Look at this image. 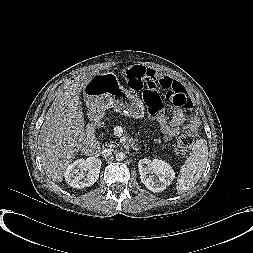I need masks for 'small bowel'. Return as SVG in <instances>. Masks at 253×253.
<instances>
[{
  "label": "small bowel",
  "mask_w": 253,
  "mask_h": 253,
  "mask_svg": "<svg viewBox=\"0 0 253 253\" xmlns=\"http://www.w3.org/2000/svg\"><path fill=\"white\" fill-rule=\"evenodd\" d=\"M155 73L158 74L160 79L169 82L171 85H181L179 82L167 75L158 72ZM158 121L160 124V129L164 134V138L166 140L177 138L184 132L194 133L198 129L199 125L198 120L196 118H187L184 111L181 109L175 110L170 120H167L164 117H159Z\"/></svg>",
  "instance_id": "small-bowel-1"
}]
</instances>
